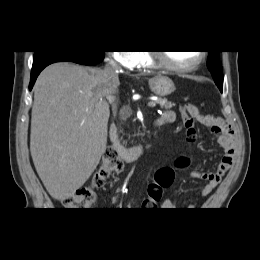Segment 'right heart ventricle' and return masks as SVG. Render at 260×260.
Returning <instances> with one entry per match:
<instances>
[{"label": "right heart ventricle", "mask_w": 260, "mask_h": 260, "mask_svg": "<svg viewBox=\"0 0 260 260\" xmlns=\"http://www.w3.org/2000/svg\"><path fill=\"white\" fill-rule=\"evenodd\" d=\"M140 64L147 67H154V63L150 60L147 54L142 55V60Z\"/></svg>", "instance_id": "obj_1"}]
</instances>
